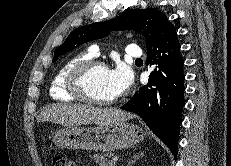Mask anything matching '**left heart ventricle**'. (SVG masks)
Listing matches in <instances>:
<instances>
[{
	"mask_svg": "<svg viewBox=\"0 0 231 166\" xmlns=\"http://www.w3.org/2000/svg\"><path fill=\"white\" fill-rule=\"evenodd\" d=\"M85 84L88 93L95 98L109 100L116 97L110 86L108 69H94L86 78Z\"/></svg>",
	"mask_w": 231,
	"mask_h": 166,
	"instance_id": "left-heart-ventricle-1",
	"label": "left heart ventricle"
}]
</instances>
